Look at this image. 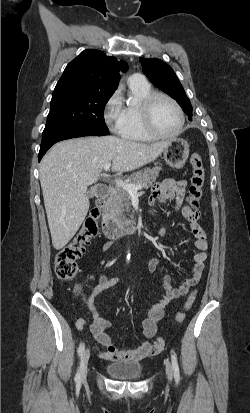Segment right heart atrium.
<instances>
[{
	"label": "right heart atrium",
	"instance_id": "right-heart-atrium-1",
	"mask_svg": "<svg viewBox=\"0 0 250 413\" xmlns=\"http://www.w3.org/2000/svg\"><path fill=\"white\" fill-rule=\"evenodd\" d=\"M103 118L111 132L121 134L124 115L118 92H114L106 101L103 108Z\"/></svg>",
	"mask_w": 250,
	"mask_h": 413
}]
</instances>
